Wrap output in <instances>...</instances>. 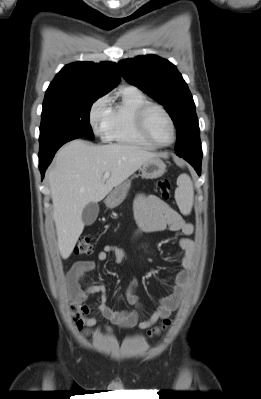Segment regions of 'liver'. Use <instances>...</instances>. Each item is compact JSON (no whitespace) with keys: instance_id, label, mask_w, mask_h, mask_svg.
<instances>
[{"instance_id":"1","label":"liver","mask_w":261,"mask_h":399,"mask_svg":"<svg viewBox=\"0 0 261 399\" xmlns=\"http://www.w3.org/2000/svg\"><path fill=\"white\" fill-rule=\"evenodd\" d=\"M155 153L124 144L90 145L77 139L56 154L48 180L53 202L58 248L69 258L84 229L82 211L90 202H99L123 183ZM110 172L106 181L105 172Z\"/></svg>"}]
</instances>
